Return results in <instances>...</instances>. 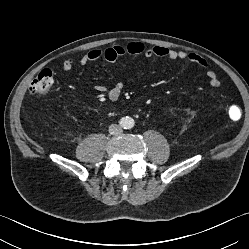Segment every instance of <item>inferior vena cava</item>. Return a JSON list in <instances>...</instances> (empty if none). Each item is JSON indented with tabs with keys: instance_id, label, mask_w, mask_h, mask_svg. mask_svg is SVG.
Masks as SVG:
<instances>
[{
	"instance_id": "1",
	"label": "inferior vena cava",
	"mask_w": 249,
	"mask_h": 249,
	"mask_svg": "<svg viewBox=\"0 0 249 249\" xmlns=\"http://www.w3.org/2000/svg\"><path fill=\"white\" fill-rule=\"evenodd\" d=\"M122 132V129L119 125L117 124H111L109 126V133L111 135H119Z\"/></svg>"
}]
</instances>
